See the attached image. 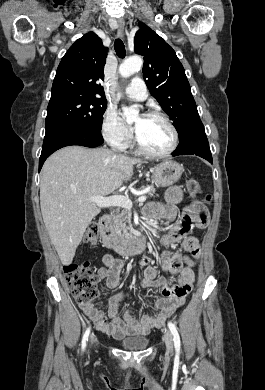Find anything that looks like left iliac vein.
Returning <instances> with one entry per match:
<instances>
[{"mask_svg": "<svg viewBox=\"0 0 265 390\" xmlns=\"http://www.w3.org/2000/svg\"><path fill=\"white\" fill-rule=\"evenodd\" d=\"M164 341H165L167 352L171 354L173 351V337L169 330H165L164 332Z\"/></svg>", "mask_w": 265, "mask_h": 390, "instance_id": "4c4485c4", "label": "left iliac vein"}]
</instances>
